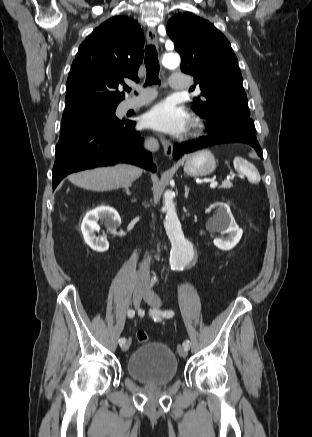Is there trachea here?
<instances>
[{
  "instance_id": "3493384b",
  "label": "trachea",
  "mask_w": 312,
  "mask_h": 437,
  "mask_svg": "<svg viewBox=\"0 0 312 437\" xmlns=\"http://www.w3.org/2000/svg\"><path fill=\"white\" fill-rule=\"evenodd\" d=\"M144 62L147 70L145 86L160 84V81L158 79L160 65L158 61L157 51L154 45L146 46ZM125 90L129 92L131 89L129 87H126Z\"/></svg>"
}]
</instances>
